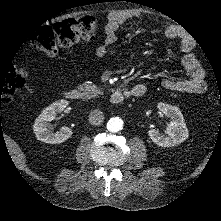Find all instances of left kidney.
<instances>
[{"label": "left kidney", "mask_w": 221, "mask_h": 221, "mask_svg": "<svg viewBox=\"0 0 221 221\" xmlns=\"http://www.w3.org/2000/svg\"><path fill=\"white\" fill-rule=\"evenodd\" d=\"M156 108L161 114L168 116L171 123L164 127V132L149 130L150 139L159 146L168 147L179 144L188 138V128L181 110L165 102H158Z\"/></svg>", "instance_id": "left-kidney-1"}]
</instances>
